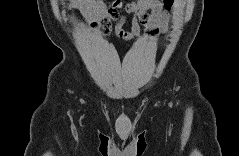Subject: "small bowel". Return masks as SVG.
I'll list each match as a JSON object with an SVG mask.
<instances>
[{
    "instance_id": "small-bowel-1",
    "label": "small bowel",
    "mask_w": 239,
    "mask_h": 156,
    "mask_svg": "<svg viewBox=\"0 0 239 156\" xmlns=\"http://www.w3.org/2000/svg\"><path fill=\"white\" fill-rule=\"evenodd\" d=\"M72 3L83 11L93 27L100 26L103 35L113 30L118 38L130 41L139 36L144 27L147 39L153 41L167 32L174 0H134L127 3L114 0L110 4L93 0H74ZM128 16L131 29L125 30Z\"/></svg>"
}]
</instances>
